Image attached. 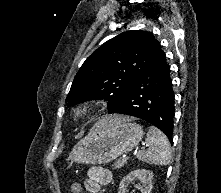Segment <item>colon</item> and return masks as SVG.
I'll list each match as a JSON object with an SVG mask.
<instances>
[{
  "label": "colon",
  "mask_w": 221,
  "mask_h": 193,
  "mask_svg": "<svg viewBox=\"0 0 221 193\" xmlns=\"http://www.w3.org/2000/svg\"><path fill=\"white\" fill-rule=\"evenodd\" d=\"M71 190H72V193L73 192L74 193H81V190H82L81 184L79 182L73 183Z\"/></svg>",
  "instance_id": "obj_1"
}]
</instances>
